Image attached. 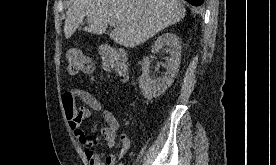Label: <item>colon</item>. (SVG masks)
<instances>
[{
  "mask_svg": "<svg viewBox=\"0 0 276 165\" xmlns=\"http://www.w3.org/2000/svg\"><path fill=\"white\" fill-rule=\"evenodd\" d=\"M100 61L105 70L114 71L122 78L128 77V66L125 54L111 46L99 49ZM68 71L71 74L92 75L94 65L91 58L81 50L71 49L67 53Z\"/></svg>",
  "mask_w": 276,
  "mask_h": 165,
  "instance_id": "1",
  "label": "colon"
}]
</instances>
